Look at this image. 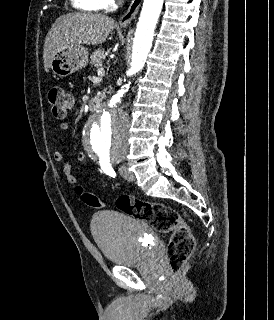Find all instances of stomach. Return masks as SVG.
<instances>
[{"instance_id":"1","label":"stomach","mask_w":274,"mask_h":320,"mask_svg":"<svg viewBox=\"0 0 274 320\" xmlns=\"http://www.w3.org/2000/svg\"><path fill=\"white\" fill-rule=\"evenodd\" d=\"M88 64V50L83 46L62 48L53 56L50 68L57 78H66L78 70H82Z\"/></svg>"}]
</instances>
